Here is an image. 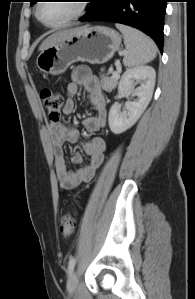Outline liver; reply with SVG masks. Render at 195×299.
<instances>
[{
	"label": "liver",
	"instance_id": "6515ba94",
	"mask_svg": "<svg viewBox=\"0 0 195 299\" xmlns=\"http://www.w3.org/2000/svg\"><path fill=\"white\" fill-rule=\"evenodd\" d=\"M74 29H69V30H60L49 37H47L40 45L39 50L43 51L44 49L49 48L53 44L57 43L59 40H61L63 37L67 36L71 32H73Z\"/></svg>",
	"mask_w": 195,
	"mask_h": 299
}]
</instances>
